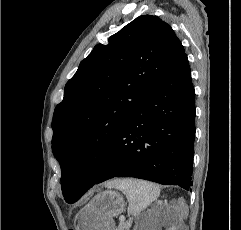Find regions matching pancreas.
Returning a JSON list of instances; mask_svg holds the SVG:
<instances>
[{
  "label": "pancreas",
  "instance_id": "cf45deb5",
  "mask_svg": "<svg viewBox=\"0 0 241 230\" xmlns=\"http://www.w3.org/2000/svg\"><path fill=\"white\" fill-rule=\"evenodd\" d=\"M130 226H131V223L129 221L122 222L119 224V226L116 230H129Z\"/></svg>",
  "mask_w": 241,
  "mask_h": 230
}]
</instances>
